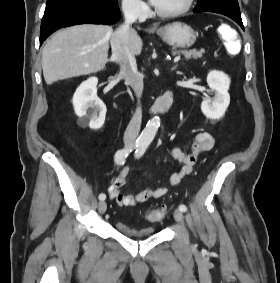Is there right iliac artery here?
Here are the masks:
<instances>
[{"mask_svg":"<svg viewBox=\"0 0 280 283\" xmlns=\"http://www.w3.org/2000/svg\"><path fill=\"white\" fill-rule=\"evenodd\" d=\"M141 145V143L136 142L134 145H131L129 147L123 148L118 150L115 153V162L119 165H123L125 163V159L127 158V156L130 154V152L139 147ZM99 200L104 201L106 199V195L105 193H101L99 194Z\"/></svg>","mask_w":280,"mask_h":283,"instance_id":"1","label":"right iliac artery"}]
</instances>
